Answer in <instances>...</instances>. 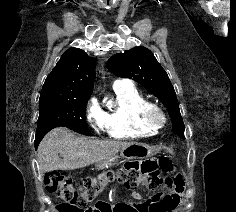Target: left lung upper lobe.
<instances>
[{
  "label": "left lung upper lobe",
  "mask_w": 236,
  "mask_h": 212,
  "mask_svg": "<svg viewBox=\"0 0 236 212\" xmlns=\"http://www.w3.org/2000/svg\"><path fill=\"white\" fill-rule=\"evenodd\" d=\"M107 68L116 76L130 78L155 95L168 109L173 132L184 136V123L180 114L175 90L166 71L146 47H135L113 55Z\"/></svg>",
  "instance_id": "5c2ea615"
}]
</instances>
